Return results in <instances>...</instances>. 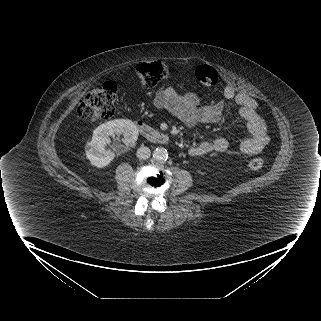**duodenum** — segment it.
<instances>
[{"instance_id":"duodenum-1","label":"duodenum","mask_w":321,"mask_h":321,"mask_svg":"<svg viewBox=\"0 0 321 321\" xmlns=\"http://www.w3.org/2000/svg\"><path fill=\"white\" fill-rule=\"evenodd\" d=\"M135 126L139 130V132L149 141L157 144L169 143V136L166 133L153 128L144 121L137 120L135 122Z\"/></svg>"}]
</instances>
